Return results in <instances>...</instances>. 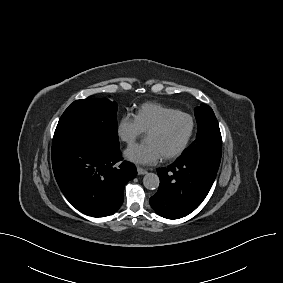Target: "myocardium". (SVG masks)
<instances>
[{
	"label": "myocardium",
	"instance_id": "myocardium-1",
	"mask_svg": "<svg viewBox=\"0 0 283 283\" xmlns=\"http://www.w3.org/2000/svg\"><path fill=\"white\" fill-rule=\"evenodd\" d=\"M175 117H185V118H187L190 122V130H189V133H188L186 139L180 145V147H178L173 152H170V153L163 155V157L165 159L176 158V157L180 156L182 153H184V151L188 148V146H189V144H190V142L193 138L194 132H195V120H194V118L189 113H186V112H183V111H176V112H173V113L166 115L158 124H156L154 127H152L147 132V134L161 132L168 125V123L172 119H174Z\"/></svg>",
	"mask_w": 283,
	"mask_h": 283
}]
</instances>
